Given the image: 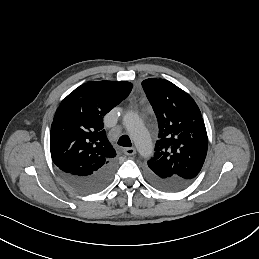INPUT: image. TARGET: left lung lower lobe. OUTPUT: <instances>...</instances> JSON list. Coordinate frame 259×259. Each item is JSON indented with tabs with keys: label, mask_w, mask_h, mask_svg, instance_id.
Here are the masks:
<instances>
[{
	"label": "left lung lower lobe",
	"mask_w": 259,
	"mask_h": 259,
	"mask_svg": "<svg viewBox=\"0 0 259 259\" xmlns=\"http://www.w3.org/2000/svg\"><path fill=\"white\" fill-rule=\"evenodd\" d=\"M147 179L154 187L168 192L180 191L190 183V182L180 181V180H172V181L161 180L148 172H147Z\"/></svg>",
	"instance_id": "1"
}]
</instances>
